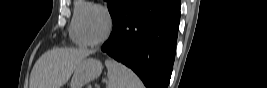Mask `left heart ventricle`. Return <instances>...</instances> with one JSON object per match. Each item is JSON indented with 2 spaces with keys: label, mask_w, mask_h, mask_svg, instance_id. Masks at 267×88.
<instances>
[{
  "label": "left heart ventricle",
  "mask_w": 267,
  "mask_h": 88,
  "mask_svg": "<svg viewBox=\"0 0 267 88\" xmlns=\"http://www.w3.org/2000/svg\"><path fill=\"white\" fill-rule=\"evenodd\" d=\"M85 35L90 41H98L106 32L105 16L98 10H91L84 20Z\"/></svg>",
  "instance_id": "1"
}]
</instances>
